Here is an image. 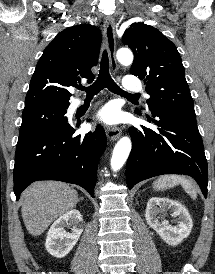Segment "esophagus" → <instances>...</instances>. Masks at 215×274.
Masks as SVG:
<instances>
[{
    "label": "esophagus",
    "instance_id": "34e87169",
    "mask_svg": "<svg viewBox=\"0 0 215 274\" xmlns=\"http://www.w3.org/2000/svg\"><path fill=\"white\" fill-rule=\"evenodd\" d=\"M104 35L106 40V46L110 56L111 67L113 71H116L117 64L115 59V49H116L115 22L112 16L106 17L104 21ZM121 134H122V131L120 128H117V127L106 128V135L108 139L111 141L117 140L121 136Z\"/></svg>",
    "mask_w": 215,
    "mask_h": 274
}]
</instances>
